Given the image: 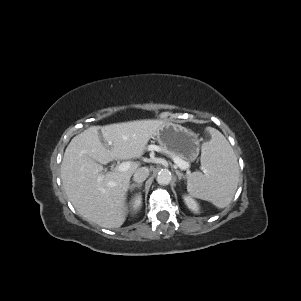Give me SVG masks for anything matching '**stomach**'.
Wrapping results in <instances>:
<instances>
[{"instance_id": "0dacf381", "label": "stomach", "mask_w": 301, "mask_h": 301, "mask_svg": "<svg viewBox=\"0 0 301 301\" xmlns=\"http://www.w3.org/2000/svg\"><path fill=\"white\" fill-rule=\"evenodd\" d=\"M156 138L162 149L189 162L199 155L200 140L192 130L174 123H165L156 132Z\"/></svg>"}]
</instances>
